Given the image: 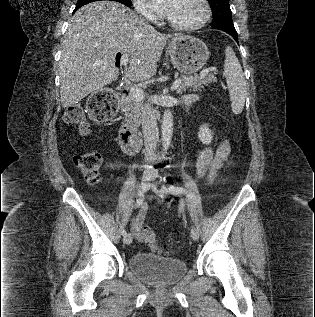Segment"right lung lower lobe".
Segmentation results:
<instances>
[{"label": "right lung lower lobe", "instance_id": "98d812e1", "mask_svg": "<svg viewBox=\"0 0 315 317\" xmlns=\"http://www.w3.org/2000/svg\"><path fill=\"white\" fill-rule=\"evenodd\" d=\"M80 7H81V6H76L74 12H75L76 10H78Z\"/></svg>", "mask_w": 315, "mask_h": 317}]
</instances>
